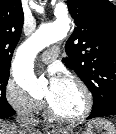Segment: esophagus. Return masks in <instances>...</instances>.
Listing matches in <instances>:
<instances>
[{
  "label": "esophagus",
  "instance_id": "obj_1",
  "mask_svg": "<svg viewBox=\"0 0 116 134\" xmlns=\"http://www.w3.org/2000/svg\"><path fill=\"white\" fill-rule=\"evenodd\" d=\"M45 131L48 133H54L56 132V128L53 125L48 124L45 126Z\"/></svg>",
  "mask_w": 116,
  "mask_h": 134
}]
</instances>
